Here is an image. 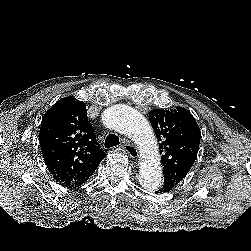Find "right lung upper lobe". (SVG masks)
I'll use <instances>...</instances> for the list:
<instances>
[{
    "instance_id": "obj_1",
    "label": "right lung upper lobe",
    "mask_w": 251,
    "mask_h": 251,
    "mask_svg": "<svg viewBox=\"0 0 251 251\" xmlns=\"http://www.w3.org/2000/svg\"><path fill=\"white\" fill-rule=\"evenodd\" d=\"M39 140L47 167L65 186L83 184L106 156L88 121L86 104L71 97L60 99L44 114Z\"/></svg>"
}]
</instances>
